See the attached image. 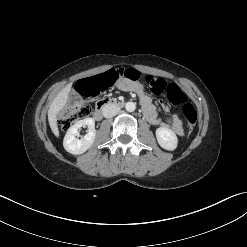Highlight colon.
I'll return each instance as SVG.
<instances>
[{"label": "colon", "mask_w": 247, "mask_h": 247, "mask_svg": "<svg viewBox=\"0 0 247 247\" xmlns=\"http://www.w3.org/2000/svg\"><path fill=\"white\" fill-rule=\"evenodd\" d=\"M116 78H127L138 81L140 73L134 69L106 70L104 73L95 76L86 75L80 78L74 86L75 94L83 100L94 97L100 87L108 86L116 81ZM147 83L151 91L159 95L166 92L168 101L173 105H183L182 113L187 122L189 131H192L197 122V112L194 106L187 102L186 94L175 84H167L160 78L147 77ZM91 113V106L86 103H74L69 107L67 114L59 120L62 130H67L73 123L88 117Z\"/></svg>", "instance_id": "obj_1"}]
</instances>
